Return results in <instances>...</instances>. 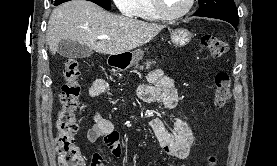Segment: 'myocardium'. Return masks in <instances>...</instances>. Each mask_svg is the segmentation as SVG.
Here are the masks:
<instances>
[{
    "label": "myocardium",
    "mask_w": 277,
    "mask_h": 166,
    "mask_svg": "<svg viewBox=\"0 0 277 166\" xmlns=\"http://www.w3.org/2000/svg\"><path fill=\"white\" fill-rule=\"evenodd\" d=\"M152 1L157 14L161 17V19L167 20V21L178 20L184 17L185 15H187L192 9L195 2V0H188L185 7L181 11L177 13H169L164 7L163 0H152Z\"/></svg>",
    "instance_id": "myocardium-1"
}]
</instances>
